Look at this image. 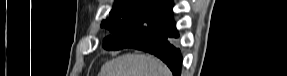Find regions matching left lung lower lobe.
Segmentation results:
<instances>
[{"instance_id":"left-lung-lower-lobe-1","label":"left lung lower lobe","mask_w":287,"mask_h":76,"mask_svg":"<svg viewBox=\"0 0 287 76\" xmlns=\"http://www.w3.org/2000/svg\"><path fill=\"white\" fill-rule=\"evenodd\" d=\"M177 37L178 33L175 23L170 18L161 27L151 31L125 48H135L154 54L167 64L174 76H180L181 53L172 41V38Z\"/></svg>"}]
</instances>
